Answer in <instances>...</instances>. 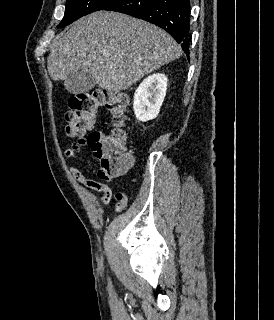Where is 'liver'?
<instances>
[{"label":"liver","mask_w":274,"mask_h":320,"mask_svg":"<svg viewBox=\"0 0 274 320\" xmlns=\"http://www.w3.org/2000/svg\"><path fill=\"white\" fill-rule=\"evenodd\" d=\"M181 54L177 42L154 24L119 12H94L57 34L47 70L52 80H65L71 94L83 72L102 90L120 92Z\"/></svg>","instance_id":"obj_1"}]
</instances>
